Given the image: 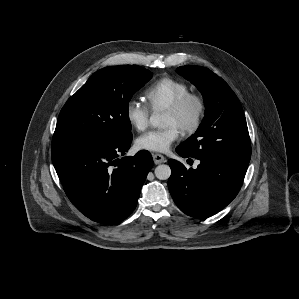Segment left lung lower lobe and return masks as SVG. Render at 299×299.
Returning a JSON list of instances; mask_svg holds the SVG:
<instances>
[{
	"instance_id": "left-lung-lower-lobe-1",
	"label": "left lung lower lobe",
	"mask_w": 299,
	"mask_h": 299,
	"mask_svg": "<svg viewBox=\"0 0 299 299\" xmlns=\"http://www.w3.org/2000/svg\"><path fill=\"white\" fill-rule=\"evenodd\" d=\"M183 158L184 151L176 148ZM196 169L173 159L168 161L172 174L168 180L171 196L178 208L195 218L210 217L226 207L238 194L248 163L228 159H198Z\"/></svg>"
}]
</instances>
